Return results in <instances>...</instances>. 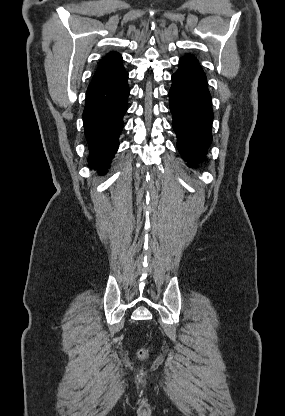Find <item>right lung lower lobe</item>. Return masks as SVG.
Instances as JSON below:
<instances>
[{
    "label": "right lung lower lobe",
    "instance_id": "1",
    "mask_svg": "<svg viewBox=\"0 0 285 416\" xmlns=\"http://www.w3.org/2000/svg\"><path fill=\"white\" fill-rule=\"evenodd\" d=\"M127 79L128 73L125 72L109 83L88 89L86 93L83 121L90 151L88 161L100 174L106 173L119 145L130 91Z\"/></svg>",
    "mask_w": 285,
    "mask_h": 416
}]
</instances>
